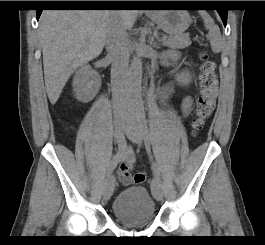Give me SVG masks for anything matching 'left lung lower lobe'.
Wrapping results in <instances>:
<instances>
[{
  "mask_svg": "<svg viewBox=\"0 0 265 245\" xmlns=\"http://www.w3.org/2000/svg\"><path fill=\"white\" fill-rule=\"evenodd\" d=\"M183 1H156V4L162 5V6H176L179 4H182ZM224 25H226L227 21V9H219L217 10Z\"/></svg>",
  "mask_w": 265,
  "mask_h": 245,
  "instance_id": "1",
  "label": "left lung lower lobe"
}]
</instances>
